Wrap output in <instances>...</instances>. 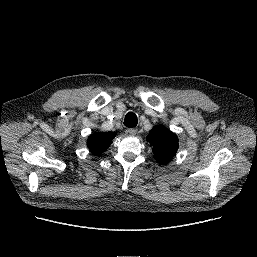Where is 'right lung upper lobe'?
I'll list each match as a JSON object with an SVG mask.
<instances>
[{
  "instance_id": "obj_1",
  "label": "right lung upper lobe",
  "mask_w": 257,
  "mask_h": 257,
  "mask_svg": "<svg viewBox=\"0 0 257 257\" xmlns=\"http://www.w3.org/2000/svg\"><path fill=\"white\" fill-rule=\"evenodd\" d=\"M114 132L95 133L89 136L87 146L94 155H100L111 145Z\"/></svg>"
}]
</instances>
